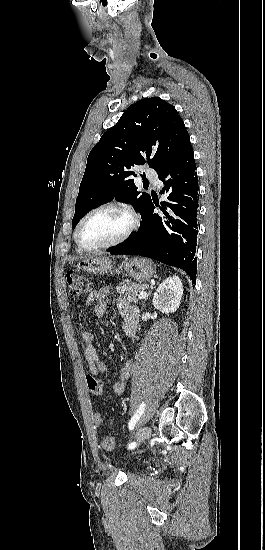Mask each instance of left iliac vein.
Instances as JSON below:
<instances>
[{
	"label": "left iliac vein",
	"instance_id": "1",
	"mask_svg": "<svg viewBox=\"0 0 265 550\" xmlns=\"http://www.w3.org/2000/svg\"><path fill=\"white\" fill-rule=\"evenodd\" d=\"M151 436V430L149 427H144L139 433L138 440L139 442L149 439Z\"/></svg>",
	"mask_w": 265,
	"mask_h": 550
}]
</instances>
